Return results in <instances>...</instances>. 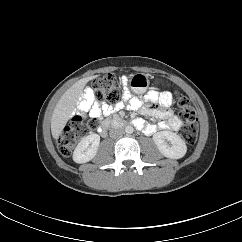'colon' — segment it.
Here are the masks:
<instances>
[{
    "instance_id": "obj_1",
    "label": "colon",
    "mask_w": 242,
    "mask_h": 242,
    "mask_svg": "<svg viewBox=\"0 0 242 242\" xmlns=\"http://www.w3.org/2000/svg\"><path fill=\"white\" fill-rule=\"evenodd\" d=\"M120 94L119 83L113 74H106L94 83L93 97L97 103H115L119 100ZM174 100L180 117L185 121L181 135L187 144L193 145L198 134L196 111L181 92H175ZM91 127L92 120L87 114L75 115L58 138L59 152L64 156L70 155L77 140L85 136Z\"/></svg>"
}]
</instances>
